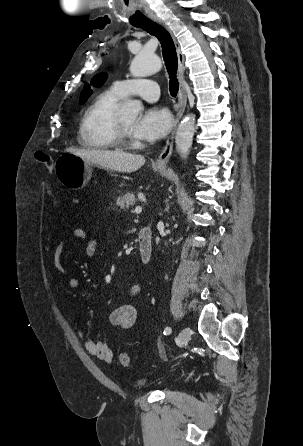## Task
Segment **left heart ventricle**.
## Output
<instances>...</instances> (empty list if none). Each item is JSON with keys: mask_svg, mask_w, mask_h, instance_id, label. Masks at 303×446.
Here are the masks:
<instances>
[{"mask_svg": "<svg viewBox=\"0 0 303 446\" xmlns=\"http://www.w3.org/2000/svg\"><path fill=\"white\" fill-rule=\"evenodd\" d=\"M121 120L125 127L132 133L133 126L136 122L135 117H121Z\"/></svg>", "mask_w": 303, "mask_h": 446, "instance_id": "1", "label": "left heart ventricle"}]
</instances>
